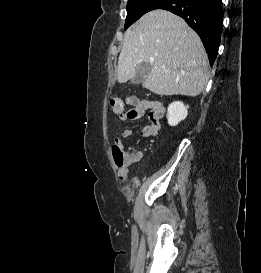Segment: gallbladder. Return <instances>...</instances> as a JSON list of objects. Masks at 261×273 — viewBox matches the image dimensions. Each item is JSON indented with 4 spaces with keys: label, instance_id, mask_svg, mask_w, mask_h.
I'll return each mask as SVG.
<instances>
[{
    "label": "gallbladder",
    "instance_id": "bac80fb5",
    "mask_svg": "<svg viewBox=\"0 0 261 273\" xmlns=\"http://www.w3.org/2000/svg\"><path fill=\"white\" fill-rule=\"evenodd\" d=\"M152 70V65L148 63H140L136 67V73L135 76L131 79L132 84H140L142 83L146 77L149 75V73Z\"/></svg>",
    "mask_w": 261,
    "mask_h": 273
}]
</instances>
